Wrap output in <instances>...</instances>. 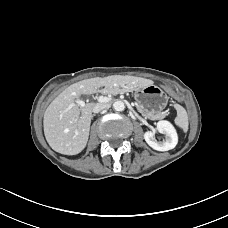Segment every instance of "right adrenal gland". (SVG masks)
I'll return each mask as SVG.
<instances>
[{"label": "right adrenal gland", "instance_id": "2a0ac1e0", "mask_svg": "<svg viewBox=\"0 0 228 228\" xmlns=\"http://www.w3.org/2000/svg\"><path fill=\"white\" fill-rule=\"evenodd\" d=\"M95 116V114H93L92 116H91V118H93Z\"/></svg>", "mask_w": 228, "mask_h": 228}]
</instances>
